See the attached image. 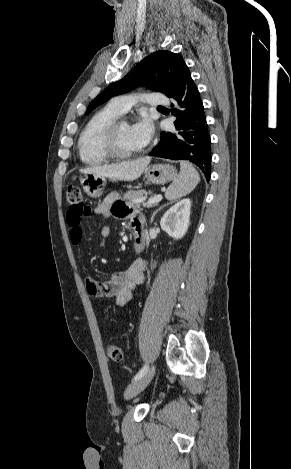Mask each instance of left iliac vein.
<instances>
[{"label": "left iliac vein", "instance_id": "left-iliac-vein-1", "mask_svg": "<svg viewBox=\"0 0 291 469\" xmlns=\"http://www.w3.org/2000/svg\"><path fill=\"white\" fill-rule=\"evenodd\" d=\"M155 374V367L151 366L150 369L139 379L135 380L131 383L126 391H125V398L131 399L141 393L147 385L151 382L153 376Z\"/></svg>", "mask_w": 291, "mask_h": 469}]
</instances>
